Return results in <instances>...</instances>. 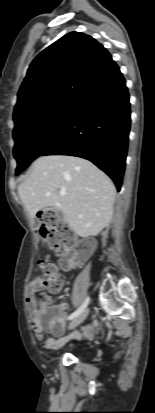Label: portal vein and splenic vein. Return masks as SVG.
Wrapping results in <instances>:
<instances>
[{
    "mask_svg": "<svg viewBox=\"0 0 155 413\" xmlns=\"http://www.w3.org/2000/svg\"><path fill=\"white\" fill-rule=\"evenodd\" d=\"M59 194H60L61 196H64V195L66 194V192H65L64 190H61V191H59Z\"/></svg>",
    "mask_w": 155,
    "mask_h": 413,
    "instance_id": "portal-vein-and-splenic-vein-1",
    "label": "portal vein and splenic vein"
}]
</instances>
